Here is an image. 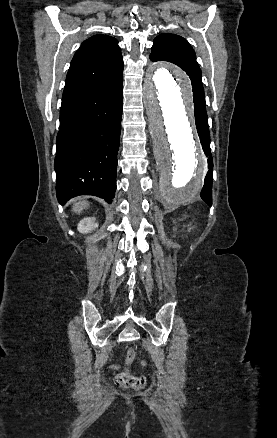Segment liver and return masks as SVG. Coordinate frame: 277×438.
<instances>
[{"mask_svg":"<svg viewBox=\"0 0 277 438\" xmlns=\"http://www.w3.org/2000/svg\"><path fill=\"white\" fill-rule=\"evenodd\" d=\"M89 206V202H86V200H83V202H75L72 206V212H75V214H82L83 210H87Z\"/></svg>","mask_w":277,"mask_h":438,"instance_id":"6515ba94","label":"liver"}]
</instances>
